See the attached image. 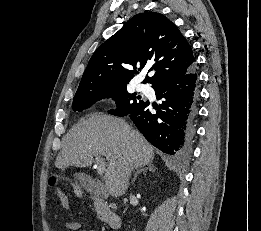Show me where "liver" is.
<instances>
[{"label": "liver", "instance_id": "1", "mask_svg": "<svg viewBox=\"0 0 261 231\" xmlns=\"http://www.w3.org/2000/svg\"><path fill=\"white\" fill-rule=\"evenodd\" d=\"M98 155L107 160L104 190L117 197L127 190L131 171L152 162L154 150L125 120L96 113L81 119L66 134L55 166L61 170L90 166Z\"/></svg>", "mask_w": 261, "mask_h": 231}]
</instances>
